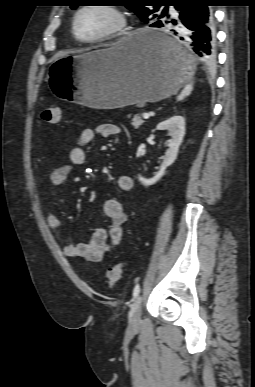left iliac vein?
Here are the masks:
<instances>
[{
    "instance_id": "obj_1",
    "label": "left iliac vein",
    "mask_w": 255,
    "mask_h": 387,
    "mask_svg": "<svg viewBox=\"0 0 255 387\" xmlns=\"http://www.w3.org/2000/svg\"><path fill=\"white\" fill-rule=\"evenodd\" d=\"M142 314V297L137 296L131 306L129 313V325L130 328H137L140 324Z\"/></svg>"
}]
</instances>
